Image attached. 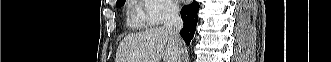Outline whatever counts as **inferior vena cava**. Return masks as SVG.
<instances>
[{
	"mask_svg": "<svg viewBox=\"0 0 331 62\" xmlns=\"http://www.w3.org/2000/svg\"><path fill=\"white\" fill-rule=\"evenodd\" d=\"M164 28L170 34L173 42L177 46V62H181V52L182 49L180 48L181 39H180V30L183 28V20L179 14L178 6L172 4L168 7L165 19H164Z\"/></svg>",
	"mask_w": 331,
	"mask_h": 62,
	"instance_id": "602c4592",
	"label": "inferior vena cava"
}]
</instances>
